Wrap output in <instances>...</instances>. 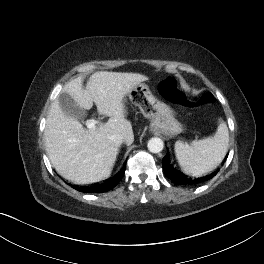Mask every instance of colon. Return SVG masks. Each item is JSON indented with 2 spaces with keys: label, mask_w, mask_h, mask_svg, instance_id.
Wrapping results in <instances>:
<instances>
[{
  "label": "colon",
  "mask_w": 264,
  "mask_h": 264,
  "mask_svg": "<svg viewBox=\"0 0 264 264\" xmlns=\"http://www.w3.org/2000/svg\"><path fill=\"white\" fill-rule=\"evenodd\" d=\"M160 93L167 99L185 105L204 106L213 102V94L211 92L203 93L196 101H190L180 90L178 82L173 77L165 78L159 85Z\"/></svg>",
  "instance_id": "colon-1"
}]
</instances>
